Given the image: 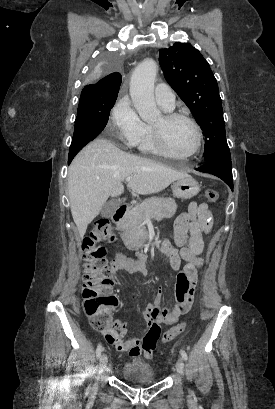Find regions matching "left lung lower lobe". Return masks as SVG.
<instances>
[{"label": "left lung lower lobe", "mask_w": 275, "mask_h": 409, "mask_svg": "<svg viewBox=\"0 0 275 409\" xmlns=\"http://www.w3.org/2000/svg\"><path fill=\"white\" fill-rule=\"evenodd\" d=\"M196 170L213 174L229 185L233 191V181H232V167L231 161L226 158H218L211 161H206V163L197 168Z\"/></svg>", "instance_id": "left-lung-lower-lobe-1"}]
</instances>
